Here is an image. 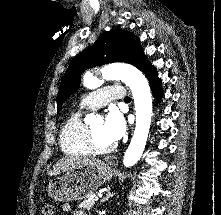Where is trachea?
Here are the masks:
<instances>
[{"instance_id": "trachea-1", "label": "trachea", "mask_w": 221, "mask_h": 215, "mask_svg": "<svg viewBox=\"0 0 221 215\" xmlns=\"http://www.w3.org/2000/svg\"><path fill=\"white\" fill-rule=\"evenodd\" d=\"M131 99H130V97H128V96H126L125 98H124V101H130Z\"/></svg>"}]
</instances>
